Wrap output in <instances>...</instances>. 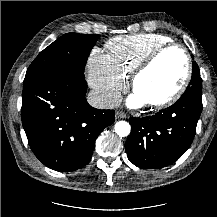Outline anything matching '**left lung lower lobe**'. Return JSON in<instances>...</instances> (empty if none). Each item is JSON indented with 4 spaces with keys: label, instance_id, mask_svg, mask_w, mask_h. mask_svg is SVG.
Instances as JSON below:
<instances>
[{
    "label": "left lung lower lobe",
    "instance_id": "1",
    "mask_svg": "<svg viewBox=\"0 0 217 217\" xmlns=\"http://www.w3.org/2000/svg\"><path fill=\"white\" fill-rule=\"evenodd\" d=\"M201 110L202 95L185 92L155 115L131 117V134L125 144L128 159L141 168L173 164L190 147Z\"/></svg>",
    "mask_w": 217,
    "mask_h": 217
}]
</instances>
